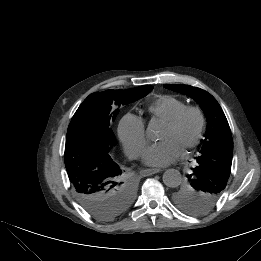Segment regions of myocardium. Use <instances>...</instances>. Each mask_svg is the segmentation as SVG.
I'll list each match as a JSON object with an SVG mask.
<instances>
[{"instance_id": "myocardium-1", "label": "myocardium", "mask_w": 261, "mask_h": 261, "mask_svg": "<svg viewBox=\"0 0 261 261\" xmlns=\"http://www.w3.org/2000/svg\"><path fill=\"white\" fill-rule=\"evenodd\" d=\"M189 114H194L196 116L198 120V126L193 138L185 144L183 150L192 149L196 147L201 141L206 123L205 114L203 110L196 105H186L179 112H177L171 119L167 121V125L171 127H178L183 122L185 117Z\"/></svg>"}]
</instances>
